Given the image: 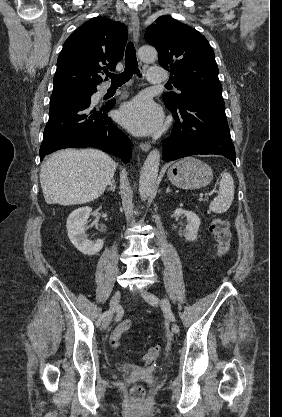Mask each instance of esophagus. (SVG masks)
Masks as SVG:
<instances>
[{
  "label": "esophagus",
  "mask_w": 282,
  "mask_h": 417,
  "mask_svg": "<svg viewBox=\"0 0 282 417\" xmlns=\"http://www.w3.org/2000/svg\"><path fill=\"white\" fill-rule=\"evenodd\" d=\"M131 25H132V30H133V39H134V42L137 43L138 38H139L140 22H139V17L137 13L135 12L131 14ZM139 146L141 150H143V152H148L151 148L150 143H140Z\"/></svg>",
  "instance_id": "obj_1"
}]
</instances>
